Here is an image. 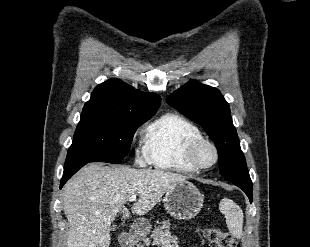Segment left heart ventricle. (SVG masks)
Segmentation results:
<instances>
[{
  "label": "left heart ventricle",
  "mask_w": 310,
  "mask_h": 247,
  "mask_svg": "<svg viewBox=\"0 0 310 247\" xmlns=\"http://www.w3.org/2000/svg\"><path fill=\"white\" fill-rule=\"evenodd\" d=\"M196 159L202 165L211 164L214 160V152L208 145H203L197 151Z\"/></svg>",
  "instance_id": "left-heart-ventricle-1"
}]
</instances>
